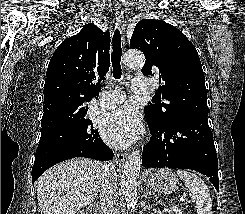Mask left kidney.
<instances>
[{
    "mask_svg": "<svg viewBox=\"0 0 245 214\" xmlns=\"http://www.w3.org/2000/svg\"><path fill=\"white\" fill-rule=\"evenodd\" d=\"M170 212L172 214H183L181 209L179 207H177V206H171L170 207Z\"/></svg>",
    "mask_w": 245,
    "mask_h": 214,
    "instance_id": "obj_1",
    "label": "left kidney"
}]
</instances>
